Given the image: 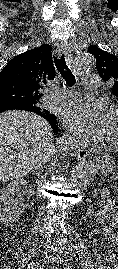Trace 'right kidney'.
I'll return each instance as SVG.
<instances>
[{
    "label": "right kidney",
    "mask_w": 118,
    "mask_h": 269,
    "mask_svg": "<svg viewBox=\"0 0 118 269\" xmlns=\"http://www.w3.org/2000/svg\"><path fill=\"white\" fill-rule=\"evenodd\" d=\"M21 185H27V181L23 179L15 180L3 188L0 196V222L4 224L14 223L23 212V198L21 195H19L20 200L15 198V194L19 191Z\"/></svg>",
    "instance_id": "1"
}]
</instances>
